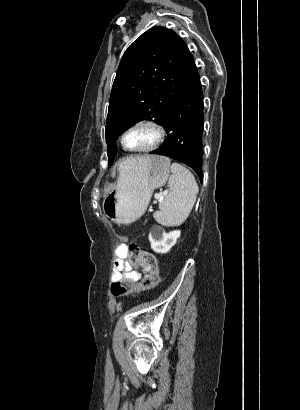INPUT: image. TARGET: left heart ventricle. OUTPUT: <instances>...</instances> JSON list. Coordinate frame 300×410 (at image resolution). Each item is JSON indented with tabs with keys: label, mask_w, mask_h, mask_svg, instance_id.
<instances>
[{
	"label": "left heart ventricle",
	"mask_w": 300,
	"mask_h": 410,
	"mask_svg": "<svg viewBox=\"0 0 300 410\" xmlns=\"http://www.w3.org/2000/svg\"><path fill=\"white\" fill-rule=\"evenodd\" d=\"M156 134L150 127H138L125 136V144L130 148L146 147L154 142Z\"/></svg>",
	"instance_id": "b2bd125f"
}]
</instances>
